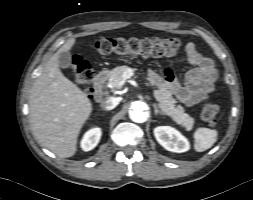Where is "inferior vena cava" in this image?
Instances as JSON below:
<instances>
[{"label": "inferior vena cava", "instance_id": "inferior-vena-cava-1", "mask_svg": "<svg viewBox=\"0 0 253 200\" xmlns=\"http://www.w3.org/2000/svg\"><path fill=\"white\" fill-rule=\"evenodd\" d=\"M119 103L118 97H108L101 102V107L105 110L114 109Z\"/></svg>", "mask_w": 253, "mask_h": 200}]
</instances>
